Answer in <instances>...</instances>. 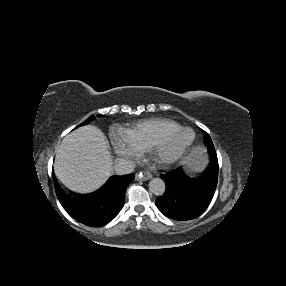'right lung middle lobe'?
<instances>
[{
    "instance_id": "dd1d6c3e",
    "label": "right lung middle lobe",
    "mask_w": 286,
    "mask_h": 286,
    "mask_svg": "<svg viewBox=\"0 0 286 286\" xmlns=\"http://www.w3.org/2000/svg\"><path fill=\"white\" fill-rule=\"evenodd\" d=\"M99 116H101V115H99ZM93 119H94V116H90L85 122H83V123L80 124L79 126L89 124ZM79 126H77V127H79ZM77 127H76V128H77Z\"/></svg>"
}]
</instances>
